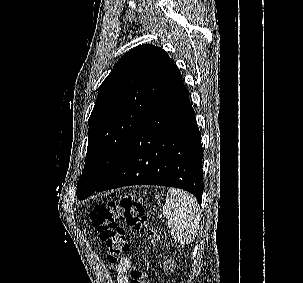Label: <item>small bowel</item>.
Returning <instances> with one entry per match:
<instances>
[{"mask_svg":"<svg viewBox=\"0 0 303 283\" xmlns=\"http://www.w3.org/2000/svg\"><path fill=\"white\" fill-rule=\"evenodd\" d=\"M130 267V259L123 257L116 266V283H129L128 269Z\"/></svg>","mask_w":303,"mask_h":283,"instance_id":"small-bowel-1","label":"small bowel"}]
</instances>
